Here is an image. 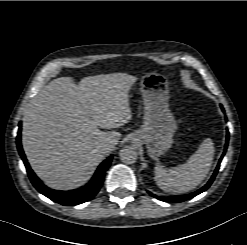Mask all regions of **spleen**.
Listing matches in <instances>:
<instances>
[{
  "label": "spleen",
  "mask_w": 247,
  "mask_h": 245,
  "mask_svg": "<svg viewBox=\"0 0 247 245\" xmlns=\"http://www.w3.org/2000/svg\"><path fill=\"white\" fill-rule=\"evenodd\" d=\"M214 156V144L206 138L188 161L166 170L160 164L155 167L156 184L165 192L186 193L196 188L207 176Z\"/></svg>",
  "instance_id": "3e777b00"
}]
</instances>
